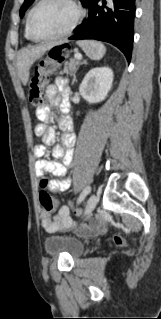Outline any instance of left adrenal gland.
Masks as SVG:
<instances>
[{
  "mask_svg": "<svg viewBox=\"0 0 161 319\" xmlns=\"http://www.w3.org/2000/svg\"><path fill=\"white\" fill-rule=\"evenodd\" d=\"M82 64H86L85 61L82 62ZM76 81V76L74 75V78H73V81H72V84H74V82Z\"/></svg>",
  "mask_w": 161,
  "mask_h": 319,
  "instance_id": "a2214340",
  "label": "left adrenal gland"
}]
</instances>
